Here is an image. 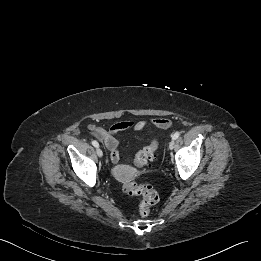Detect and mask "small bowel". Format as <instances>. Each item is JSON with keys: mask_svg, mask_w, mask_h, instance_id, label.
Listing matches in <instances>:
<instances>
[{"mask_svg": "<svg viewBox=\"0 0 261 261\" xmlns=\"http://www.w3.org/2000/svg\"><path fill=\"white\" fill-rule=\"evenodd\" d=\"M172 121L170 119H151L140 121H120L111 125L108 129L96 126L94 124L89 125L88 129L91 135L101 141L110 151V160L113 163H117L119 160V148L120 142L116 138V134L127 129L134 131H140L151 125L159 129H166L170 127Z\"/></svg>", "mask_w": 261, "mask_h": 261, "instance_id": "small-bowel-1", "label": "small bowel"}]
</instances>
